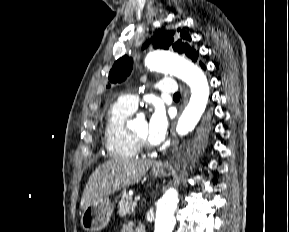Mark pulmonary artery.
<instances>
[{
    "label": "pulmonary artery",
    "instance_id": "1",
    "mask_svg": "<svg viewBox=\"0 0 289 232\" xmlns=\"http://www.w3.org/2000/svg\"><path fill=\"white\" fill-rule=\"evenodd\" d=\"M156 88L164 94H175L177 92V83L172 78H163L161 79ZM120 100L128 106L130 109L135 110L138 104V96L134 94L124 95Z\"/></svg>",
    "mask_w": 289,
    "mask_h": 232
}]
</instances>
